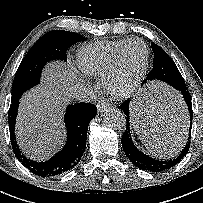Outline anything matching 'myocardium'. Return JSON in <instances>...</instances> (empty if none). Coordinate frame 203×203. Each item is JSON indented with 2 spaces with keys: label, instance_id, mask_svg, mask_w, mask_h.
Listing matches in <instances>:
<instances>
[{
  "label": "myocardium",
  "instance_id": "obj_1",
  "mask_svg": "<svg viewBox=\"0 0 203 203\" xmlns=\"http://www.w3.org/2000/svg\"><path fill=\"white\" fill-rule=\"evenodd\" d=\"M133 43H139L143 46L145 52L144 61L138 73L133 78V80L128 85L120 87L118 85L120 70L124 61L126 51L129 48V46ZM148 64H149V49L147 45L141 39L138 38L129 39L127 43L123 46V48L120 50L112 66L110 67V69L103 78V85L106 91L116 99L124 100L130 98L139 88L147 71Z\"/></svg>",
  "mask_w": 203,
  "mask_h": 203
}]
</instances>
